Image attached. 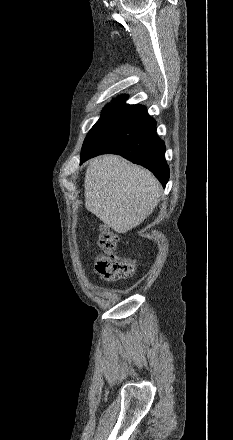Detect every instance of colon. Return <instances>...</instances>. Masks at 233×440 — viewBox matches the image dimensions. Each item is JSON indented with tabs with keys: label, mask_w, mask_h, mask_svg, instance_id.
<instances>
[{
	"label": "colon",
	"mask_w": 233,
	"mask_h": 440,
	"mask_svg": "<svg viewBox=\"0 0 233 440\" xmlns=\"http://www.w3.org/2000/svg\"><path fill=\"white\" fill-rule=\"evenodd\" d=\"M97 244L99 252L95 259V268L100 276L106 280H118L133 274L134 262L118 254V237L111 228L100 227Z\"/></svg>",
	"instance_id": "5ec220e1"
}]
</instances>
